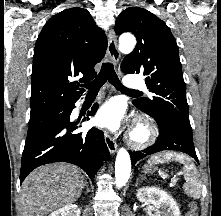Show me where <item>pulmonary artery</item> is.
Instances as JSON below:
<instances>
[{"mask_svg":"<svg viewBox=\"0 0 221 216\" xmlns=\"http://www.w3.org/2000/svg\"><path fill=\"white\" fill-rule=\"evenodd\" d=\"M124 84L127 88H129L131 90L145 88L144 81L140 78L133 77V76H127L124 79Z\"/></svg>","mask_w":221,"mask_h":216,"instance_id":"pulmonary-artery-1","label":"pulmonary artery"}]
</instances>
